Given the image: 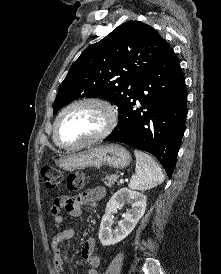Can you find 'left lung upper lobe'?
<instances>
[{"mask_svg":"<svg viewBox=\"0 0 221 274\" xmlns=\"http://www.w3.org/2000/svg\"><path fill=\"white\" fill-rule=\"evenodd\" d=\"M170 48L149 25L128 21L86 48L59 86L54 113L81 97H102L118 112L136 94L140 77Z\"/></svg>","mask_w":221,"mask_h":274,"instance_id":"left-lung-upper-lobe-1","label":"left lung upper lobe"}]
</instances>
